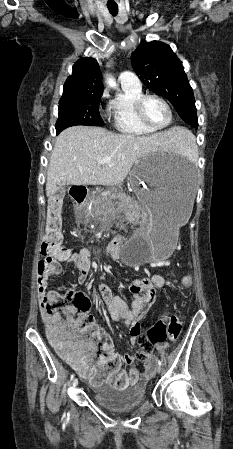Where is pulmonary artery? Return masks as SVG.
<instances>
[{
	"instance_id": "e3ab8cb5",
	"label": "pulmonary artery",
	"mask_w": 233,
	"mask_h": 449,
	"mask_svg": "<svg viewBox=\"0 0 233 449\" xmlns=\"http://www.w3.org/2000/svg\"><path fill=\"white\" fill-rule=\"evenodd\" d=\"M119 82L124 85H129L133 87H141L140 80L131 71H124L119 75Z\"/></svg>"
}]
</instances>
